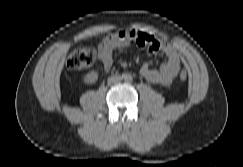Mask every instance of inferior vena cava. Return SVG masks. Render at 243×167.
<instances>
[{
    "mask_svg": "<svg viewBox=\"0 0 243 167\" xmlns=\"http://www.w3.org/2000/svg\"><path fill=\"white\" fill-rule=\"evenodd\" d=\"M121 80L119 76H112L108 79V84H116Z\"/></svg>",
    "mask_w": 243,
    "mask_h": 167,
    "instance_id": "602c4592",
    "label": "inferior vena cava"
}]
</instances>
